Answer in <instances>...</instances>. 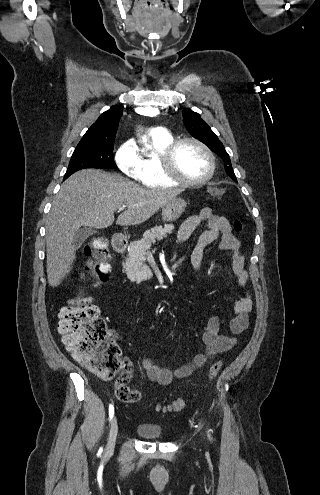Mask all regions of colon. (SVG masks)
Segmentation results:
<instances>
[{"mask_svg": "<svg viewBox=\"0 0 320 495\" xmlns=\"http://www.w3.org/2000/svg\"><path fill=\"white\" fill-rule=\"evenodd\" d=\"M212 195L220 198L224 194L221 188L213 189ZM236 231L242 229L239 221L234 223ZM85 253L91 257L89 267L97 283L107 280L111 271L106 241L102 237L94 238L85 247ZM58 331L62 342L74 358L88 370L105 380L112 379L121 369L119 347L109 339L107 325L99 309L88 298H76L59 312ZM221 369V363L215 362L208 371L209 380L214 379ZM127 376L122 373L115 381V395L118 400L136 403L142 394L127 386ZM186 405L184 398H177L165 407L157 406L164 412H179Z\"/></svg>", "mask_w": 320, "mask_h": 495, "instance_id": "colon-1", "label": "colon"}]
</instances>
